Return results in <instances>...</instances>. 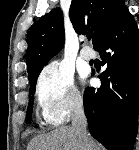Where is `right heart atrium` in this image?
Segmentation results:
<instances>
[{
    "label": "right heart atrium",
    "instance_id": "d8ad5b80",
    "mask_svg": "<svg viewBox=\"0 0 139 150\" xmlns=\"http://www.w3.org/2000/svg\"><path fill=\"white\" fill-rule=\"evenodd\" d=\"M37 103L43 121L57 126L77 114L83 105L73 73L58 64L46 66L36 84Z\"/></svg>",
    "mask_w": 139,
    "mask_h": 150
}]
</instances>
